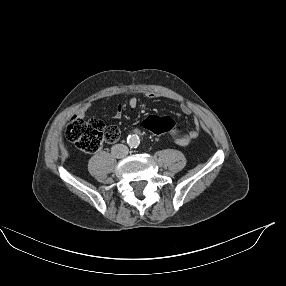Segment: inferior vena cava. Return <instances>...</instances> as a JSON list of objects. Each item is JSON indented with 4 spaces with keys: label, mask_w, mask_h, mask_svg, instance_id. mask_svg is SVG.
Instances as JSON below:
<instances>
[{
    "label": "inferior vena cava",
    "mask_w": 286,
    "mask_h": 286,
    "mask_svg": "<svg viewBox=\"0 0 286 286\" xmlns=\"http://www.w3.org/2000/svg\"><path fill=\"white\" fill-rule=\"evenodd\" d=\"M128 152H129L128 147L123 144H116L111 149L112 155L119 159L127 156Z\"/></svg>",
    "instance_id": "602c4592"
}]
</instances>
